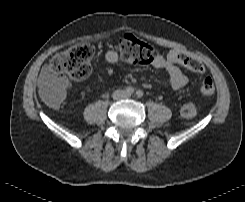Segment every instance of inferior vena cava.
Returning a JSON list of instances; mask_svg holds the SVG:
<instances>
[{
  "instance_id": "inferior-vena-cava-1",
  "label": "inferior vena cava",
  "mask_w": 245,
  "mask_h": 202,
  "mask_svg": "<svg viewBox=\"0 0 245 202\" xmlns=\"http://www.w3.org/2000/svg\"><path fill=\"white\" fill-rule=\"evenodd\" d=\"M121 97H122V91L116 90V91L113 93V98H114V99H120Z\"/></svg>"
}]
</instances>
